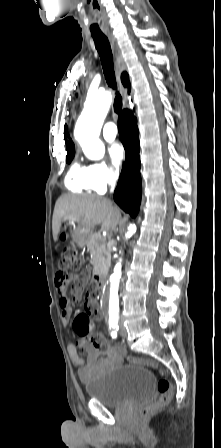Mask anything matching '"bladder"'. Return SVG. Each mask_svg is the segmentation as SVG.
<instances>
[{"instance_id": "obj_1", "label": "bladder", "mask_w": 221, "mask_h": 448, "mask_svg": "<svg viewBox=\"0 0 221 448\" xmlns=\"http://www.w3.org/2000/svg\"><path fill=\"white\" fill-rule=\"evenodd\" d=\"M92 400L108 407H122L154 396V376L146 369L120 364L85 383Z\"/></svg>"}]
</instances>
